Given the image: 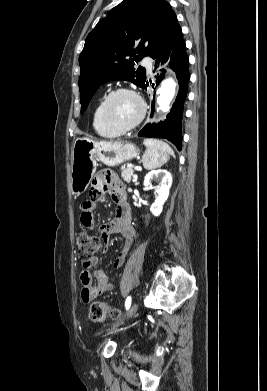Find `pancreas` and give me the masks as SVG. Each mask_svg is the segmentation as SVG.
Returning <instances> with one entry per match:
<instances>
[{"label":"pancreas","mask_w":267,"mask_h":391,"mask_svg":"<svg viewBox=\"0 0 267 391\" xmlns=\"http://www.w3.org/2000/svg\"><path fill=\"white\" fill-rule=\"evenodd\" d=\"M121 176L123 178V180L127 183H130L131 180H132V176L134 174V169L133 167H125V166H122L121 167Z\"/></svg>","instance_id":"pancreas-1"}]
</instances>
